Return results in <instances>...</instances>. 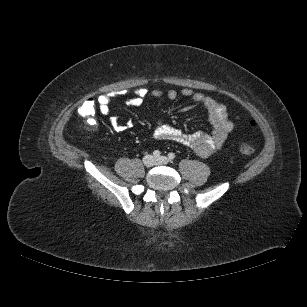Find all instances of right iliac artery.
Masks as SVG:
<instances>
[{
    "instance_id": "obj_1",
    "label": "right iliac artery",
    "mask_w": 307,
    "mask_h": 307,
    "mask_svg": "<svg viewBox=\"0 0 307 307\" xmlns=\"http://www.w3.org/2000/svg\"><path fill=\"white\" fill-rule=\"evenodd\" d=\"M160 151L159 150H155L154 152H153V156L155 157V158H158V157H160Z\"/></svg>"
}]
</instances>
